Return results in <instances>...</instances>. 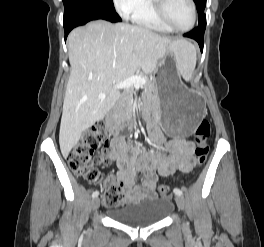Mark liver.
I'll return each instance as SVG.
<instances>
[{"mask_svg":"<svg viewBox=\"0 0 264 247\" xmlns=\"http://www.w3.org/2000/svg\"><path fill=\"white\" fill-rule=\"evenodd\" d=\"M70 76L59 133L62 155L67 157L82 134L104 118L119 98L115 85L156 70L159 59L177 41L140 26L104 20L77 27L68 36ZM104 93L105 99H99Z\"/></svg>","mask_w":264,"mask_h":247,"instance_id":"1","label":"liver"}]
</instances>
